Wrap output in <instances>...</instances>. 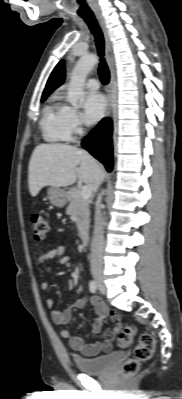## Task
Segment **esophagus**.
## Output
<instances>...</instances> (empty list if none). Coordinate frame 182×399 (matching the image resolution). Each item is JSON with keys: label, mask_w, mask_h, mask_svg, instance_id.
Returning a JSON list of instances; mask_svg holds the SVG:
<instances>
[{"label": "esophagus", "mask_w": 182, "mask_h": 399, "mask_svg": "<svg viewBox=\"0 0 182 399\" xmlns=\"http://www.w3.org/2000/svg\"><path fill=\"white\" fill-rule=\"evenodd\" d=\"M97 18L99 20L100 26L102 28L103 34H104V39H105V53L108 61V67H109V72H110V81L107 87V108L105 112V116L108 117L111 114V109H112V87L114 83V77H115V62H114V54L112 50V43L109 38L108 30L104 24L103 19L97 15Z\"/></svg>", "instance_id": "34e87169"}]
</instances>
